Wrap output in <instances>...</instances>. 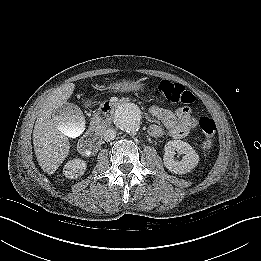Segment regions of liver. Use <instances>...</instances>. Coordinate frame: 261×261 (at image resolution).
Returning a JSON list of instances; mask_svg holds the SVG:
<instances>
[{
  "label": "liver",
  "instance_id": "liver-1",
  "mask_svg": "<svg viewBox=\"0 0 261 261\" xmlns=\"http://www.w3.org/2000/svg\"><path fill=\"white\" fill-rule=\"evenodd\" d=\"M75 89L74 83L61 85L42 102L33 130V145L41 169L48 175L53 174L69 154L70 143L62 123L63 118L57 113L67 103ZM84 126L81 109L75 106L73 135H79Z\"/></svg>",
  "mask_w": 261,
  "mask_h": 261
}]
</instances>
